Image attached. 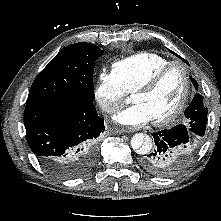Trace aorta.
I'll use <instances>...</instances> for the list:
<instances>
[{"label": "aorta", "mask_w": 221, "mask_h": 221, "mask_svg": "<svg viewBox=\"0 0 221 221\" xmlns=\"http://www.w3.org/2000/svg\"><path fill=\"white\" fill-rule=\"evenodd\" d=\"M131 147L138 154H146L152 148V139L143 133H136L131 138Z\"/></svg>", "instance_id": "762f6f07"}]
</instances>
